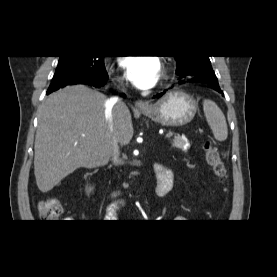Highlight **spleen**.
<instances>
[{
    "mask_svg": "<svg viewBox=\"0 0 277 277\" xmlns=\"http://www.w3.org/2000/svg\"><path fill=\"white\" fill-rule=\"evenodd\" d=\"M203 110L216 140L224 141L228 136L225 116L215 102L209 99L203 101Z\"/></svg>",
    "mask_w": 277,
    "mask_h": 277,
    "instance_id": "obj_1",
    "label": "spleen"
}]
</instances>
